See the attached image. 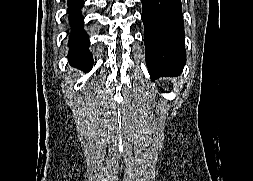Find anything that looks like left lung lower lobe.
Listing matches in <instances>:
<instances>
[{
    "mask_svg": "<svg viewBox=\"0 0 253 181\" xmlns=\"http://www.w3.org/2000/svg\"><path fill=\"white\" fill-rule=\"evenodd\" d=\"M146 63L151 78L182 72L186 63L180 0H142Z\"/></svg>",
    "mask_w": 253,
    "mask_h": 181,
    "instance_id": "obj_1",
    "label": "left lung lower lobe"
}]
</instances>
